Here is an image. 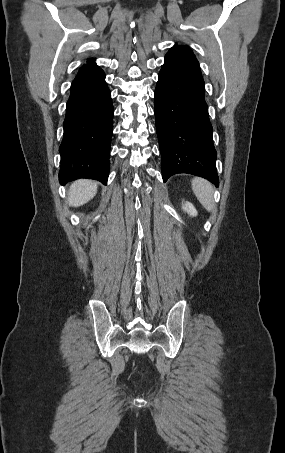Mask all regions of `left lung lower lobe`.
I'll return each mask as SVG.
<instances>
[{
  "mask_svg": "<svg viewBox=\"0 0 285 453\" xmlns=\"http://www.w3.org/2000/svg\"><path fill=\"white\" fill-rule=\"evenodd\" d=\"M154 112L163 181L188 173L218 186L204 80L187 45H174L165 56L155 89Z\"/></svg>",
  "mask_w": 285,
  "mask_h": 453,
  "instance_id": "left-lung-lower-lobe-1",
  "label": "left lung lower lobe"
}]
</instances>
